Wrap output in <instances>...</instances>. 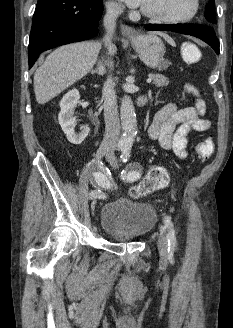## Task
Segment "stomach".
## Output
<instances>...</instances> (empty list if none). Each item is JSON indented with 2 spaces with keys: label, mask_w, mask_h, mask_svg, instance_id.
Instances as JSON below:
<instances>
[{
  "label": "stomach",
  "mask_w": 233,
  "mask_h": 328,
  "mask_svg": "<svg viewBox=\"0 0 233 328\" xmlns=\"http://www.w3.org/2000/svg\"><path fill=\"white\" fill-rule=\"evenodd\" d=\"M131 44L140 59L151 68L167 67L164 59L165 46L160 37L154 33L140 34L131 38Z\"/></svg>",
  "instance_id": "obj_1"
}]
</instances>
